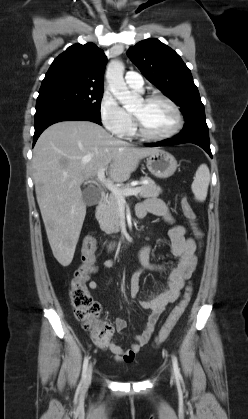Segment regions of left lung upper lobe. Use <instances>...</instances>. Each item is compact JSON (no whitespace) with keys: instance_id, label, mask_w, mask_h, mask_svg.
I'll return each mask as SVG.
<instances>
[{"instance_id":"left-lung-upper-lobe-1","label":"left lung upper lobe","mask_w":248,"mask_h":419,"mask_svg":"<svg viewBox=\"0 0 248 419\" xmlns=\"http://www.w3.org/2000/svg\"><path fill=\"white\" fill-rule=\"evenodd\" d=\"M127 54L152 84L181 107L184 128L206 122L204 105L191 72L174 50L150 38L130 47Z\"/></svg>"}]
</instances>
